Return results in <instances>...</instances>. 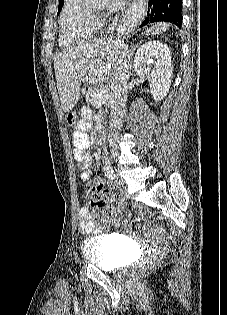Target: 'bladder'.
<instances>
[{
    "label": "bladder",
    "mask_w": 227,
    "mask_h": 315,
    "mask_svg": "<svg viewBox=\"0 0 227 315\" xmlns=\"http://www.w3.org/2000/svg\"><path fill=\"white\" fill-rule=\"evenodd\" d=\"M81 250L86 262L107 271L122 267L130 251L120 239L102 236L86 238L81 245Z\"/></svg>",
    "instance_id": "31cf9c89"
}]
</instances>
